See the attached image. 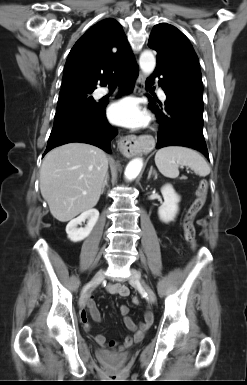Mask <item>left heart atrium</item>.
<instances>
[{"label": "left heart atrium", "mask_w": 247, "mask_h": 385, "mask_svg": "<svg viewBox=\"0 0 247 385\" xmlns=\"http://www.w3.org/2000/svg\"><path fill=\"white\" fill-rule=\"evenodd\" d=\"M107 115L114 124L128 128H141L149 121L147 112L140 108L134 98L130 97L111 104Z\"/></svg>", "instance_id": "1"}]
</instances>
